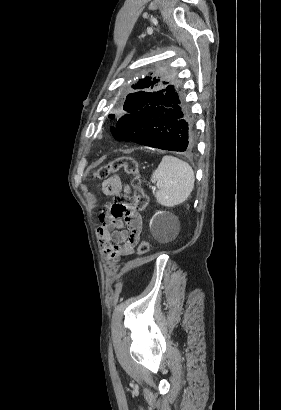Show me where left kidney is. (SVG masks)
<instances>
[{
    "label": "left kidney",
    "mask_w": 281,
    "mask_h": 410,
    "mask_svg": "<svg viewBox=\"0 0 281 410\" xmlns=\"http://www.w3.org/2000/svg\"><path fill=\"white\" fill-rule=\"evenodd\" d=\"M163 213H164L163 211H158V212L155 213V215L153 216V218H156V217H157L158 221H159V222H162V223L168 222V221H167L168 218H166V216H164ZM153 218H152L151 221H150V225H151L152 222H153Z\"/></svg>",
    "instance_id": "5707ae66"
}]
</instances>
